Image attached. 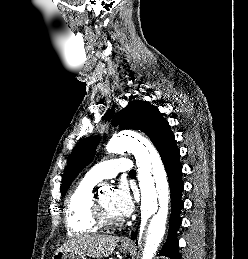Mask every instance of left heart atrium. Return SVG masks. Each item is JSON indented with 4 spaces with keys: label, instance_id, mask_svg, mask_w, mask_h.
<instances>
[{
    "label": "left heart atrium",
    "instance_id": "39dd6f15",
    "mask_svg": "<svg viewBox=\"0 0 248 259\" xmlns=\"http://www.w3.org/2000/svg\"><path fill=\"white\" fill-rule=\"evenodd\" d=\"M112 204L114 210L120 217H127L132 213L134 202L129 189L125 185H120L113 192Z\"/></svg>",
    "mask_w": 248,
    "mask_h": 259
}]
</instances>
